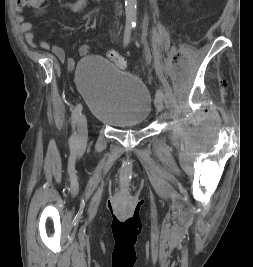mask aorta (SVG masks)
Listing matches in <instances>:
<instances>
[{
  "instance_id": "obj_1",
  "label": "aorta",
  "mask_w": 253,
  "mask_h": 267,
  "mask_svg": "<svg viewBox=\"0 0 253 267\" xmlns=\"http://www.w3.org/2000/svg\"><path fill=\"white\" fill-rule=\"evenodd\" d=\"M126 26H134L137 22V0H125Z\"/></svg>"
}]
</instances>
